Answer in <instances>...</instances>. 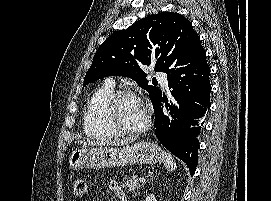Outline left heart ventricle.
I'll list each match as a JSON object with an SVG mask.
<instances>
[{"instance_id":"obj_1","label":"left heart ventricle","mask_w":271,"mask_h":201,"mask_svg":"<svg viewBox=\"0 0 271 201\" xmlns=\"http://www.w3.org/2000/svg\"><path fill=\"white\" fill-rule=\"evenodd\" d=\"M116 115L119 122L129 129L141 127L146 119L143 103L134 98L120 100L116 108Z\"/></svg>"}]
</instances>
